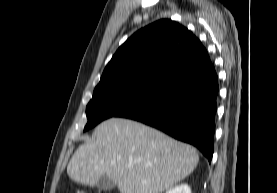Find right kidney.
<instances>
[{"label":"right kidney","mask_w":277,"mask_h":193,"mask_svg":"<svg viewBox=\"0 0 277 193\" xmlns=\"http://www.w3.org/2000/svg\"><path fill=\"white\" fill-rule=\"evenodd\" d=\"M166 193H191V189L187 184H181L171 188L170 190L166 191Z\"/></svg>","instance_id":"right-kidney-1"}]
</instances>
